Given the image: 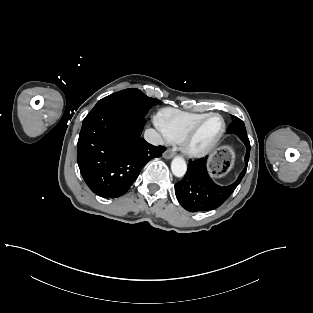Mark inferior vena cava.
<instances>
[{
    "label": "inferior vena cava",
    "mask_w": 313,
    "mask_h": 313,
    "mask_svg": "<svg viewBox=\"0 0 313 313\" xmlns=\"http://www.w3.org/2000/svg\"><path fill=\"white\" fill-rule=\"evenodd\" d=\"M145 140L152 145H163L164 141L161 135L154 129H147L144 133Z\"/></svg>",
    "instance_id": "inferior-vena-cava-1"
}]
</instances>
